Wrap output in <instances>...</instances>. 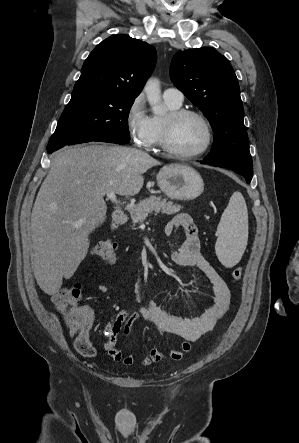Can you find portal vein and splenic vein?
<instances>
[{
    "label": "portal vein and splenic vein",
    "instance_id": "portal-vein-and-splenic-vein-1",
    "mask_svg": "<svg viewBox=\"0 0 299 443\" xmlns=\"http://www.w3.org/2000/svg\"><path fill=\"white\" fill-rule=\"evenodd\" d=\"M107 196H108V198L111 200V202L112 203H120L118 200H117V198H116V195H115V193L114 192H108L107 193ZM130 208V206L129 205H127V209H129Z\"/></svg>",
    "mask_w": 299,
    "mask_h": 443
}]
</instances>
